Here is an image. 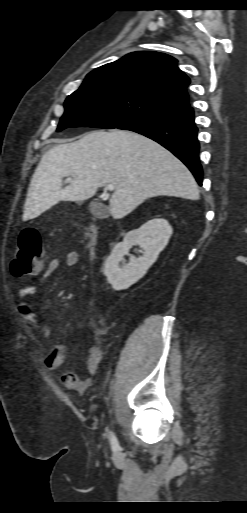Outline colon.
<instances>
[{
    "label": "colon",
    "instance_id": "1",
    "mask_svg": "<svg viewBox=\"0 0 247 513\" xmlns=\"http://www.w3.org/2000/svg\"><path fill=\"white\" fill-rule=\"evenodd\" d=\"M42 253L41 236L35 228H25L18 237L17 249L11 263L15 277L29 275L40 267Z\"/></svg>",
    "mask_w": 247,
    "mask_h": 513
}]
</instances>
